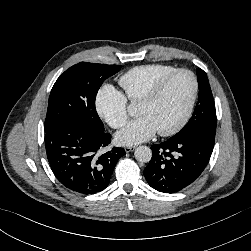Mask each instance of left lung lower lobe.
Returning <instances> with one entry per match:
<instances>
[{
	"instance_id": "0a47b994",
	"label": "left lung lower lobe",
	"mask_w": 251,
	"mask_h": 251,
	"mask_svg": "<svg viewBox=\"0 0 251 251\" xmlns=\"http://www.w3.org/2000/svg\"><path fill=\"white\" fill-rule=\"evenodd\" d=\"M214 139L194 132L152 145V158L144 170L149 185L164 193H175L191 185L207 166Z\"/></svg>"
}]
</instances>
